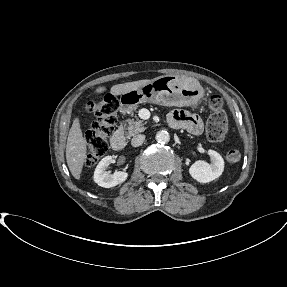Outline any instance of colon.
<instances>
[{
    "instance_id": "5ec220e1",
    "label": "colon",
    "mask_w": 287,
    "mask_h": 287,
    "mask_svg": "<svg viewBox=\"0 0 287 287\" xmlns=\"http://www.w3.org/2000/svg\"><path fill=\"white\" fill-rule=\"evenodd\" d=\"M118 106V99L110 94L88 103V110L94 114L96 121L86 134L87 166H94L106 154L108 141L116 129ZM209 109L207 136L211 141H220L227 133L228 121L219 95L210 97ZM226 158L229 163H238L241 152L238 149H230Z\"/></svg>"
}]
</instances>
